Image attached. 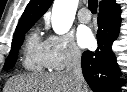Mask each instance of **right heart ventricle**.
I'll return each instance as SVG.
<instances>
[{
	"label": "right heart ventricle",
	"instance_id": "obj_1",
	"mask_svg": "<svg viewBox=\"0 0 127 92\" xmlns=\"http://www.w3.org/2000/svg\"><path fill=\"white\" fill-rule=\"evenodd\" d=\"M22 64L32 72H43L48 68L44 59V42L40 40L37 31L32 32L25 42Z\"/></svg>",
	"mask_w": 127,
	"mask_h": 92
}]
</instances>
